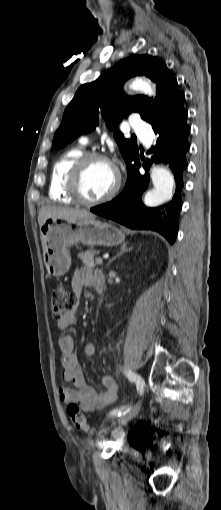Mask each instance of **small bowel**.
Wrapping results in <instances>:
<instances>
[{"label": "small bowel", "mask_w": 221, "mask_h": 510, "mask_svg": "<svg viewBox=\"0 0 221 510\" xmlns=\"http://www.w3.org/2000/svg\"><path fill=\"white\" fill-rule=\"evenodd\" d=\"M94 271L90 267L78 269L71 280V287L79 297L82 290L86 287L94 286ZM77 307L57 320L59 329H68L76 324ZM60 363L62 367V377L68 385H62L58 389L59 399L64 403H76L86 413H93L102 410L111 405L117 396V385L114 379L109 375L100 376L101 389L98 391L86 383L79 358L75 352L74 339L69 335L61 336L59 339ZM95 346L93 343H87L84 347V354L87 357L93 356Z\"/></svg>", "instance_id": "c3829d8e"}]
</instances>
